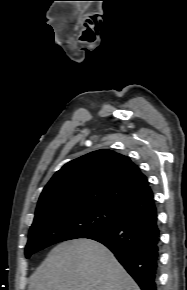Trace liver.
<instances>
[{"label":"liver","mask_w":187,"mask_h":290,"mask_svg":"<svg viewBox=\"0 0 187 290\" xmlns=\"http://www.w3.org/2000/svg\"><path fill=\"white\" fill-rule=\"evenodd\" d=\"M28 290H140L114 255L90 239L54 247L30 277Z\"/></svg>","instance_id":"6515ba94"}]
</instances>
